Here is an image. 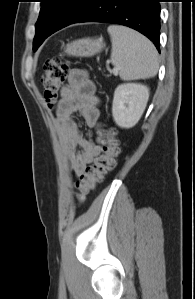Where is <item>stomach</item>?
Wrapping results in <instances>:
<instances>
[{
  "mask_svg": "<svg viewBox=\"0 0 195 299\" xmlns=\"http://www.w3.org/2000/svg\"><path fill=\"white\" fill-rule=\"evenodd\" d=\"M105 47L102 38H84L68 43L64 52L74 57H91L100 53Z\"/></svg>",
  "mask_w": 195,
  "mask_h": 299,
  "instance_id": "stomach-1",
  "label": "stomach"
}]
</instances>
